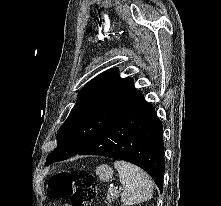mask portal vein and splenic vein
Returning a JSON list of instances; mask_svg holds the SVG:
<instances>
[{
    "instance_id": "18ae733b",
    "label": "portal vein and splenic vein",
    "mask_w": 221,
    "mask_h": 206,
    "mask_svg": "<svg viewBox=\"0 0 221 206\" xmlns=\"http://www.w3.org/2000/svg\"><path fill=\"white\" fill-rule=\"evenodd\" d=\"M115 190V188L113 187V186H111L110 188H109V192H113Z\"/></svg>"
}]
</instances>
